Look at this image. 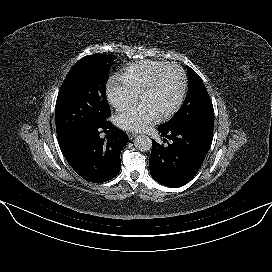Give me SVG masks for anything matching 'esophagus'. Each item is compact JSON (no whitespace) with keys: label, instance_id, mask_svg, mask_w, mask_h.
Here are the masks:
<instances>
[{"label":"esophagus","instance_id":"obj_1","mask_svg":"<svg viewBox=\"0 0 272 272\" xmlns=\"http://www.w3.org/2000/svg\"><path fill=\"white\" fill-rule=\"evenodd\" d=\"M136 136H137L136 133H128V137H129L130 140L135 138Z\"/></svg>","mask_w":272,"mask_h":272}]
</instances>
